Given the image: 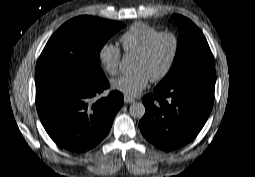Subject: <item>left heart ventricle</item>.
<instances>
[{"mask_svg": "<svg viewBox=\"0 0 255 177\" xmlns=\"http://www.w3.org/2000/svg\"><path fill=\"white\" fill-rule=\"evenodd\" d=\"M172 47L173 42L169 37L159 39L147 58H135L133 71H141L148 78L157 76L166 66Z\"/></svg>", "mask_w": 255, "mask_h": 177, "instance_id": "obj_1", "label": "left heart ventricle"}]
</instances>
